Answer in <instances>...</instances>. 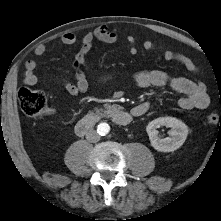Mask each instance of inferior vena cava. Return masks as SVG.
<instances>
[{
    "label": "inferior vena cava",
    "mask_w": 221,
    "mask_h": 221,
    "mask_svg": "<svg viewBox=\"0 0 221 221\" xmlns=\"http://www.w3.org/2000/svg\"><path fill=\"white\" fill-rule=\"evenodd\" d=\"M86 139L91 143H96L100 140V136L95 130L91 129L86 133Z\"/></svg>",
    "instance_id": "1"
}]
</instances>
